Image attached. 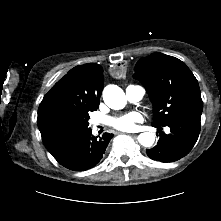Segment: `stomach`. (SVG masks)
<instances>
[{
  "label": "stomach",
  "instance_id": "0dacf381",
  "mask_svg": "<svg viewBox=\"0 0 221 221\" xmlns=\"http://www.w3.org/2000/svg\"><path fill=\"white\" fill-rule=\"evenodd\" d=\"M129 69L128 63L121 60L111 64L108 71L111 77L118 79L127 75Z\"/></svg>",
  "mask_w": 221,
  "mask_h": 221
}]
</instances>
